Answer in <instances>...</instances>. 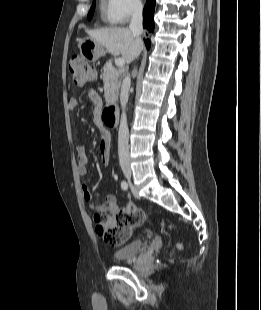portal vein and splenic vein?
Wrapping results in <instances>:
<instances>
[{
  "label": "portal vein and splenic vein",
  "mask_w": 261,
  "mask_h": 310,
  "mask_svg": "<svg viewBox=\"0 0 261 310\" xmlns=\"http://www.w3.org/2000/svg\"><path fill=\"white\" fill-rule=\"evenodd\" d=\"M115 64L118 67H123L125 65V60L123 58H118L115 60Z\"/></svg>",
  "instance_id": "18ae733b"
}]
</instances>
